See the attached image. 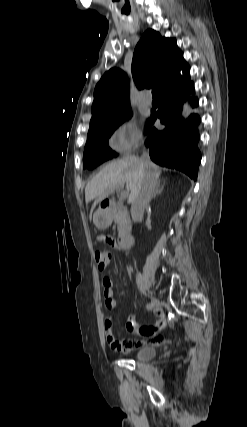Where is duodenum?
Here are the masks:
<instances>
[{
    "instance_id": "duodenum-1",
    "label": "duodenum",
    "mask_w": 247,
    "mask_h": 427,
    "mask_svg": "<svg viewBox=\"0 0 247 427\" xmlns=\"http://www.w3.org/2000/svg\"><path fill=\"white\" fill-rule=\"evenodd\" d=\"M116 207V204L114 202H105L102 205V209L104 212L108 213L111 212ZM133 245V237L131 234H124L119 239V246L123 250H128Z\"/></svg>"
}]
</instances>
